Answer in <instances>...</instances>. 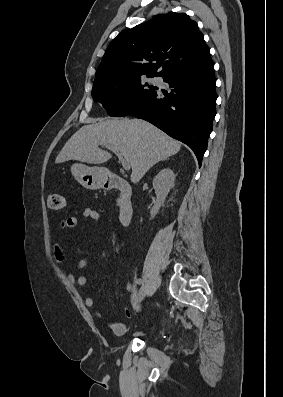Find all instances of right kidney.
<instances>
[{
  "label": "right kidney",
  "instance_id": "right-kidney-1",
  "mask_svg": "<svg viewBox=\"0 0 283 397\" xmlns=\"http://www.w3.org/2000/svg\"><path fill=\"white\" fill-rule=\"evenodd\" d=\"M175 174L170 168L161 170L153 180V188L156 194V201L150 211L151 218L159 212L161 206L164 204L165 199L174 187Z\"/></svg>",
  "mask_w": 283,
  "mask_h": 397
}]
</instances>
